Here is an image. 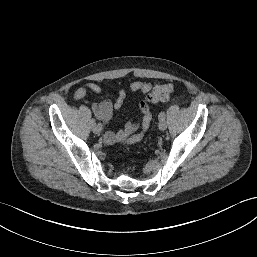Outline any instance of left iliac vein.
<instances>
[{
	"instance_id": "1",
	"label": "left iliac vein",
	"mask_w": 257,
	"mask_h": 257,
	"mask_svg": "<svg viewBox=\"0 0 257 257\" xmlns=\"http://www.w3.org/2000/svg\"><path fill=\"white\" fill-rule=\"evenodd\" d=\"M158 127H159V129L162 130V131L166 130L167 124H166L165 120H160V122H159V124H158Z\"/></svg>"
}]
</instances>
